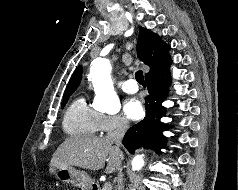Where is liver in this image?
<instances>
[{"label": "liver", "instance_id": "liver-1", "mask_svg": "<svg viewBox=\"0 0 238 190\" xmlns=\"http://www.w3.org/2000/svg\"><path fill=\"white\" fill-rule=\"evenodd\" d=\"M123 153L107 137H69L57 148L50 161V173L57 168L76 166L100 170L107 161L105 173L120 169Z\"/></svg>", "mask_w": 238, "mask_h": 190}]
</instances>
